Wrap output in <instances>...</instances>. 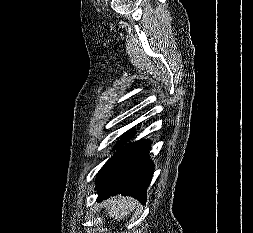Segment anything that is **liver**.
<instances>
[{
    "mask_svg": "<svg viewBox=\"0 0 253 233\" xmlns=\"http://www.w3.org/2000/svg\"><path fill=\"white\" fill-rule=\"evenodd\" d=\"M136 200L132 198L118 197L106 201V211L110 218L117 221L124 219L136 207Z\"/></svg>",
    "mask_w": 253,
    "mask_h": 233,
    "instance_id": "6515ba94",
    "label": "liver"
}]
</instances>
